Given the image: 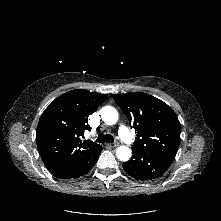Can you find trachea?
<instances>
[{
    "mask_svg": "<svg viewBox=\"0 0 221 221\" xmlns=\"http://www.w3.org/2000/svg\"><path fill=\"white\" fill-rule=\"evenodd\" d=\"M96 142H98V143H104V142L112 143V142H114V138L110 134L105 135L103 133H100L98 135V138L96 139Z\"/></svg>",
    "mask_w": 221,
    "mask_h": 221,
    "instance_id": "obj_1",
    "label": "trachea"
}]
</instances>
